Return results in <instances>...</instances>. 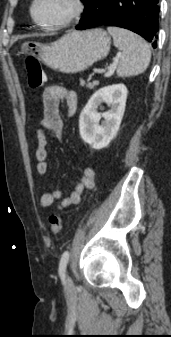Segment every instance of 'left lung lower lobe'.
I'll return each mask as SVG.
<instances>
[{
    "instance_id": "left-lung-lower-lobe-1",
    "label": "left lung lower lobe",
    "mask_w": 171,
    "mask_h": 337,
    "mask_svg": "<svg viewBox=\"0 0 171 337\" xmlns=\"http://www.w3.org/2000/svg\"><path fill=\"white\" fill-rule=\"evenodd\" d=\"M158 3L159 0H90L76 29L101 25L123 27L153 42L156 48Z\"/></svg>"
}]
</instances>
